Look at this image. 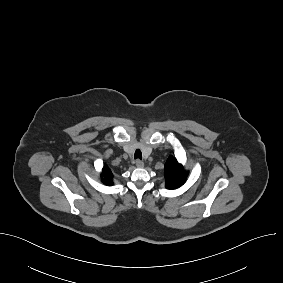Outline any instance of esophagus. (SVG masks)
I'll return each instance as SVG.
<instances>
[{
  "label": "esophagus",
  "instance_id": "1",
  "mask_svg": "<svg viewBox=\"0 0 283 283\" xmlns=\"http://www.w3.org/2000/svg\"><path fill=\"white\" fill-rule=\"evenodd\" d=\"M135 165L138 168H142L144 166V163L140 159H137Z\"/></svg>",
  "mask_w": 283,
  "mask_h": 283
}]
</instances>
